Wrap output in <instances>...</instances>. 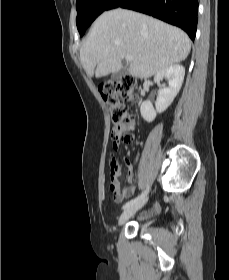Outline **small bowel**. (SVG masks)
I'll return each instance as SVG.
<instances>
[{"label":"small bowel","instance_id":"obj_1","mask_svg":"<svg viewBox=\"0 0 229 280\" xmlns=\"http://www.w3.org/2000/svg\"><path fill=\"white\" fill-rule=\"evenodd\" d=\"M120 173H121L120 163L118 161L114 160L111 163L110 178H111V190L113 193L114 202L117 204L121 203L122 201H124L126 199H129L130 197H132L134 195V192H135V188L132 186L128 187L127 189H125L122 192L119 191ZM127 181L129 183H132V181H133V169H132L131 165L128 166ZM156 210H157V205H155L152 208V210L143 212L142 217H147Z\"/></svg>","mask_w":229,"mask_h":280}]
</instances>
